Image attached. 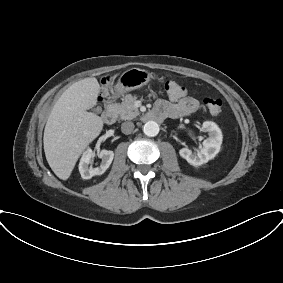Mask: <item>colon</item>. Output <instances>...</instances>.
<instances>
[{"label": "colon", "instance_id": "5ec220e1", "mask_svg": "<svg viewBox=\"0 0 283 283\" xmlns=\"http://www.w3.org/2000/svg\"><path fill=\"white\" fill-rule=\"evenodd\" d=\"M165 90L170 98L178 99L185 95V88L178 84L175 81H166L165 82ZM108 91V82H105L104 87L102 89V95H105ZM203 104L205 108L213 115H218L221 113L223 108V101L219 97L215 96H206L203 98Z\"/></svg>", "mask_w": 283, "mask_h": 283}]
</instances>
